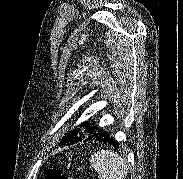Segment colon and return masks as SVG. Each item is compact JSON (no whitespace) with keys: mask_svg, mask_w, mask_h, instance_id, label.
Wrapping results in <instances>:
<instances>
[{"mask_svg":"<svg viewBox=\"0 0 183 179\" xmlns=\"http://www.w3.org/2000/svg\"><path fill=\"white\" fill-rule=\"evenodd\" d=\"M46 179H75V178L67 176L59 169L51 168L46 173Z\"/></svg>","mask_w":183,"mask_h":179,"instance_id":"obj_1","label":"colon"}]
</instances>
